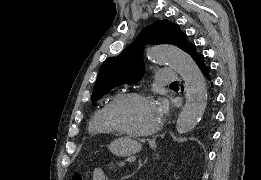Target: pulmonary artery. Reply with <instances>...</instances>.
Wrapping results in <instances>:
<instances>
[{"label":"pulmonary artery","mask_w":261,"mask_h":180,"mask_svg":"<svg viewBox=\"0 0 261 180\" xmlns=\"http://www.w3.org/2000/svg\"><path fill=\"white\" fill-rule=\"evenodd\" d=\"M156 77H182V72H169V67H158ZM155 83H183V78H155Z\"/></svg>","instance_id":"e3ab8cb5"}]
</instances>
